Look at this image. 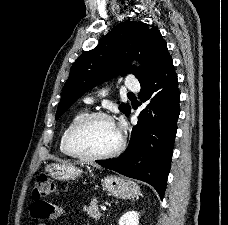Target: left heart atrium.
Here are the masks:
<instances>
[{
    "label": "left heart atrium",
    "mask_w": 228,
    "mask_h": 225,
    "mask_svg": "<svg viewBox=\"0 0 228 225\" xmlns=\"http://www.w3.org/2000/svg\"><path fill=\"white\" fill-rule=\"evenodd\" d=\"M116 129L119 131V128H118V126H116Z\"/></svg>",
    "instance_id": "left-heart-atrium-1"
}]
</instances>
